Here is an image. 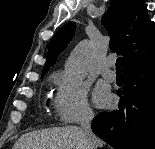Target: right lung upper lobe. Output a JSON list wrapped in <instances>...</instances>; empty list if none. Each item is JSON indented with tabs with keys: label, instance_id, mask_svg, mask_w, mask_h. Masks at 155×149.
Segmentation results:
<instances>
[{
	"label": "right lung upper lobe",
	"instance_id": "obj_1",
	"mask_svg": "<svg viewBox=\"0 0 155 149\" xmlns=\"http://www.w3.org/2000/svg\"><path fill=\"white\" fill-rule=\"evenodd\" d=\"M102 25L111 38V51L123 55V70L155 60V26L142 0H113L102 17ZM75 29V22H69L52 38L42 76L54 65Z\"/></svg>",
	"mask_w": 155,
	"mask_h": 149
}]
</instances>
